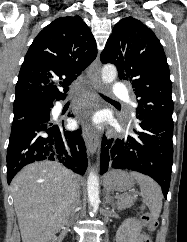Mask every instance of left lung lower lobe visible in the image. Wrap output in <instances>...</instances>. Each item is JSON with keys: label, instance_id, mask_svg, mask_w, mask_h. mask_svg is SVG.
I'll return each instance as SVG.
<instances>
[{"label": "left lung lower lobe", "instance_id": "0a47b994", "mask_svg": "<svg viewBox=\"0 0 187 242\" xmlns=\"http://www.w3.org/2000/svg\"><path fill=\"white\" fill-rule=\"evenodd\" d=\"M135 136L108 140L101 145L100 173L110 168L129 169L152 177L164 197L170 186L173 164V123L139 119Z\"/></svg>", "mask_w": 187, "mask_h": 242}]
</instances>
